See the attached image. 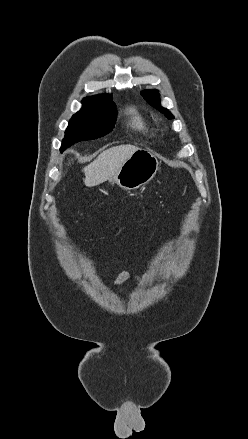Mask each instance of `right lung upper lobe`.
Segmentation results:
<instances>
[{
    "label": "right lung upper lobe",
    "mask_w": 248,
    "mask_h": 439,
    "mask_svg": "<svg viewBox=\"0 0 248 439\" xmlns=\"http://www.w3.org/2000/svg\"><path fill=\"white\" fill-rule=\"evenodd\" d=\"M110 95H96L86 97L82 100L83 106L98 107L103 109L115 110L114 103L111 101Z\"/></svg>",
    "instance_id": "cb5924a9"
}]
</instances>
